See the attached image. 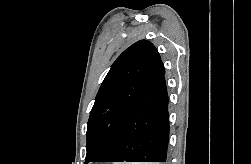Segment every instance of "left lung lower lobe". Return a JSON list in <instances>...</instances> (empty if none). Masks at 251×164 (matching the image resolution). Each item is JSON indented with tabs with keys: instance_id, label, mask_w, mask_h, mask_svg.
I'll return each mask as SVG.
<instances>
[{
	"instance_id": "left-lung-lower-lobe-1",
	"label": "left lung lower lobe",
	"mask_w": 251,
	"mask_h": 164,
	"mask_svg": "<svg viewBox=\"0 0 251 164\" xmlns=\"http://www.w3.org/2000/svg\"><path fill=\"white\" fill-rule=\"evenodd\" d=\"M164 74L133 104L109 156L102 162H166L169 114Z\"/></svg>"
}]
</instances>
